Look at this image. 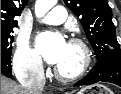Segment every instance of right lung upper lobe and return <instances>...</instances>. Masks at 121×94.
Masks as SVG:
<instances>
[{
	"label": "right lung upper lobe",
	"mask_w": 121,
	"mask_h": 94,
	"mask_svg": "<svg viewBox=\"0 0 121 94\" xmlns=\"http://www.w3.org/2000/svg\"><path fill=\"white\" fill-rule=\"evenodd\" d=\"M28 0H1V30H12L17 27L15 16L21 15Z\"/></svg>",
	"instance_id": "1"
}]
</instances>
